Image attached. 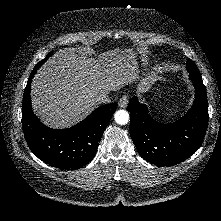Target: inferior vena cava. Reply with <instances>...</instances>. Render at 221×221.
<instances>
[{
    "mask_svg": "<svg viewBox=\"0 0 221 221\" xmlns=\"http://www.w3.org/2000/svg\"><path fill=\"white\" fill-rule=\"evenodd\" d=\"M97 104H108L111 103V99L108 96V93H102L96 97Z\"/></svg>",
    "mask_w": 221,
    "mask_h": 221,
    "instance_id": "602c4592",
    "label": "inferior vena cava"
}]
</instances>
